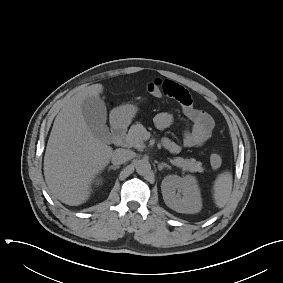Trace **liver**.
Returning <instances> with one entry per match:
<instances>
[{
    "label": "liver",
    "mask_w": 283,
    "mask_h": 283,
    "mask_svg": "<svg viewBox=\"0 0 283 283\" xmlns=\"http://www.w3.org/2000/svg\"><path fill=\"white\" fill-rule=\"evenodd\" d=\"M102 91V84H93L64 101L48 139L45 181L54 197L67 205L88 200L92 181L113 153L112 147L93 135L82 114L84 99L97 97Z\"/></svg>",
    "instance_id": "obj_1"
}]
</instances>
